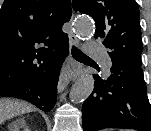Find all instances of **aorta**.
Here are the masks:
<instances>
[{
	"mask_svg": "<svg viewBox=\"0 0 151 131\" xmlns=\"http://www.w3.org/2000/svg\"><path fill=\"white\" fill-rule=\"evenodd\" d=\"M76 34L81 38H88L94 32V24L88 16H80L74 23ZM94 88V78L91 74L82 75L70 91V101L82 102L87 99Z\"/></svg>",
	"mask_w": 151,
	"mask_h": 131,
	"instance_id": "obj_1",
	"label": "aorta"
}]
</instances>
